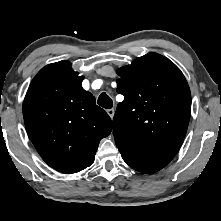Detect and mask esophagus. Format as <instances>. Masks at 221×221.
I'll return each instance as SVG.
<instances>
[{
	"mask_svg": "<svg viewBox=\"0 0 221 221\" xmlns=\"http://www.w3.org/2000/svg\"><path fill=\"white\" fill-rule=\"evenodd\" d=\"M114 113H115L114 109H108V110H107V114H108L111 118H113Z\"/></svg>",
	"mask_w": 221,
	"mask_h": 221,
	"instance_id": "obj_1",
	"label": "esophagus"
}]
</instances>
